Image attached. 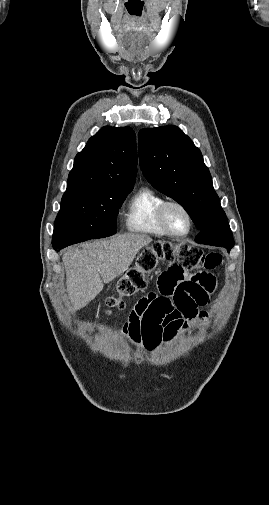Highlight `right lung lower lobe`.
Listing matches in <instances>:
<instances>
[{
	"mask_svg": "<svg viewBox=\"0 0 269 505\" xmlns=\"http://www.w3.org/2000/svg\"><path fill=\"white\" fill-rule=\"evenodd\" d=\"M55 250H61L63 247L62 246H57V247H53Z\"/></svg>",
	"mask_w": 269,
	"mask_h": 505,
	"instance_id": "1",
	"label": "right lung lower lobe"
}]
</instances>
